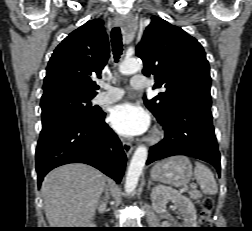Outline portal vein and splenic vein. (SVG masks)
I'll return each instance as SVG.
<instances>
[{
	"mask_svg": "<svg viewBox=\"0 0 252 231\" xmlns=\"http://www.w3.org/2000/svg\"><path fill=\"white\" fill-rule=\"evenodd\" d=\"M193 187L195 188L196 186L194 185ZM187 190H188V187H187V186H184V187H182V188L180 189V192H181V193H185V192H187Z\"/></svg>",
	"mask_w": 252,
	"mask_h": 231,
	"instance_id": "portal-vein-and-splenic-vein-1",
	"label": "portal vein and splenic vein"
}]
</instances>
